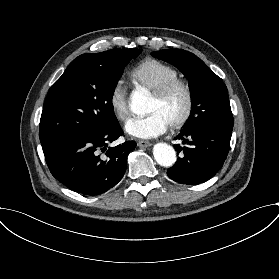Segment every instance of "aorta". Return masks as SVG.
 <instances>
[{"label": "aorta", "mask_w": 279, "mask_h": 279, "mask_svg": "<svg viewBox=\"0 0 279 279\" xmlns=\"http://www.w3.org/2000/svg\"><path fill=\"white\" fill-rule=\"evenodd\" d=\"M147 97L143 92H135L132 95L130 109L137 115H144L147 112ZM153 155L156 162L164 167H171L176 161L174 148L167 143H157L153 147Z\"/></svg>", "instance_id": "obj_1"}]
</instances>
